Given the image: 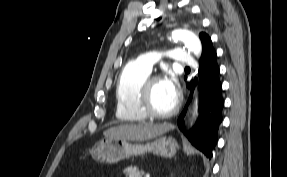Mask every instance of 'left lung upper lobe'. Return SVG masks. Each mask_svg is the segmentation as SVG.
Here are the masks:
<instances>
[{
    "label": "left lung upper lobe",
    "instance_id": "1",
    "mask_svg": "<svg viewBox=\"0 0 287 177\" xmlns=\"http://www.w3.org/2000/svg\"><path fill=\"white\" fill-rule=\"evenodd\" d=\"M200 40L202 42L203 50H204V45L208 40H210V37L206 33H200L199 34Z\"/></svg>",
    "mask_w": 287,
    "mask_h": 177
}]
</instances>
